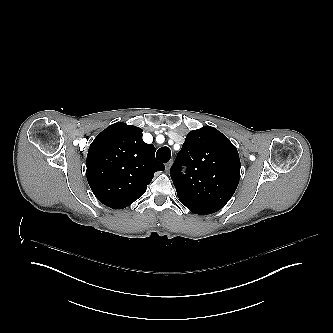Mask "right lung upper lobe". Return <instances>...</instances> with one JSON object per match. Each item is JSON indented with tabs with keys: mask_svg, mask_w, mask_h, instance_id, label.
I'll return each instance as SVG.
<instances>
[{
	"mask_svg": "<svg viewBox=\"0 0 333 333\" xmlns=\"http://www.w3.org/2000/svg\"><path fill=\"white\" fill-rule=\"evenodd\" d=\"M165 166L155 147L142 140V129L118 122L97 135L87 154V180L96 198L122 209L141 197L154 173Z\"/></svg>",
	"mask_w": 333,
	"mask_h": 333,
	"instance_id": "1",
	"label": "right lung upper lobe"
}]
</instances>
